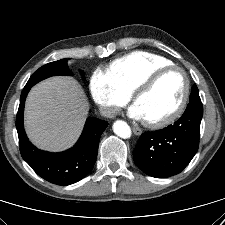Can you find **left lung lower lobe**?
<instances>
[{
	"instance_id": "left-lung-lower-lobe-1",
	"label": "left lung lower lobe",
	"mask_w": 225,
	"mask_h": 225,
	"mask_svg": "<svg viewBox=\"0 0 225 225\" xmlns=\"http://www.w3.org/2000/svg\"><path fill=\"white\" fill-rule=\"evenodd\" d=\"M202 116L201 100L190 101L173 125L143 133L133 151L138 168L156 178L180 173L198 150Z\"/></svg>"
}]
</instances>
